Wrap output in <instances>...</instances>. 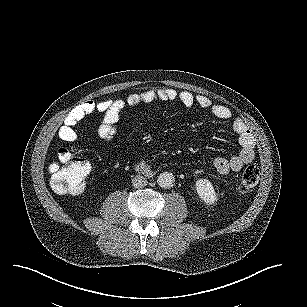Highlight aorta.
<instances>
[{
  "label": "aorta",
  "instance_id": "1",
  "mask_svg": "<svg viewBox=\"0 0 307 307\" xmlns=\"http://www.w3.org/2000/svg\"><path fill=\"white\" fill-rule=\"evenodd\" d=\"M174 175L170 172H162L159 174L158 178H157V184L161 187V188H171L174 184Z\"/></svg>",
  "mask_w": 307,
  "mask_h": 307
}]
</instances>
